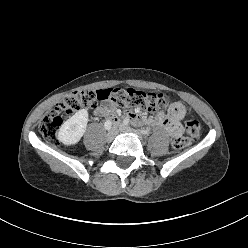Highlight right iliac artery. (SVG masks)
<instances>
[{
  "mask_svg": "<svg viewBox=\"0 0 248 248\" xmlns=\"http://www.w3.org/2000/svg\"><path fill=\"white\" fill-rule=\"evenodd\" d=\"M104 127L106 130H110L111 127H112V122L110 120H107L105 123H104Z\"/></svg>",
  "mask_w": 248,
  "mask_h": 248,
  "instance_id": "right-iliac-artery-1",
  "label": "right iliac artery"
}]
</instances>
